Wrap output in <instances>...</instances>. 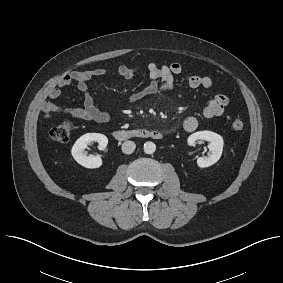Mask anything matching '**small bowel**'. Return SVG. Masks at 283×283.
<instances>
[{"label":"small bowel","instance_id":"obj_1","mask_svg":"<svg viewBox=\"0 0 283 283\" xmlns=\"http://www.w3.org/2000/svg\"><path fill=\"white\" fill-rule=\"evenodd\" d=\"M146 70L151 79V82L141 90L133 93L128 102L134 104L148 95L158 92L170 90L174 86V78L180 75L183 68L180 63L174 62L170 65H156L149 63ZM138 73V69L126 65H121L116 69L98 68L89 71H72L64 75L57 85L53 87L49 94V100L45 101L42 106V111L45 117L51 119L56 115H66L76 119L86 121H95L98 123L107 122L110 119L108 112L97 108L94 103L93 96L89 90V82L93 78L117 76L123 79H132ZM77 84L78 90L83 94L82 107H63L55 103L61 96L62 89ZM186 83L191 88L210 89L213 85L212 79L205 75H189L186 77ZM229 103V99L225 94L214 95L207 103L202 111V116L205 119H212L223 114ZM199 120L195 116H188L183 122V128L187 132H193L197 129Z\"/></svg>","mask_w":283,"mask_h":283}]
</instances>
